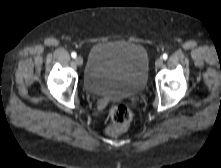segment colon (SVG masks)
Wrapping results in <instances>:
<instances>
[{
  "mask_svg": "<svg viewBox=\"0 0 221 168\" xmlns=\"http://www.w3.org/2000/svg\"><path fill=\"white\" fill-rule=\"evenodd\" d=\"M112 123L106 128L109 135H115L125 130L131 120V112L124 104H116L110 108Z\"/></svg>",
  "mask_w": 221,
  "mask_h": 168,
  "instance_id": "5ec220e1",
  "label": "colon"
}]
</instances>
